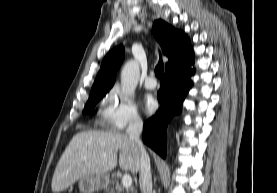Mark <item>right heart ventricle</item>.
Instances as JSON below:
<instances>
[{
  "label": "right heart ventricle",
  "instance_id": "obj_1",
  "mask_svg": "<svg viewBox=\"0 0 277 193\" xmlns=\"http://www.w3.org/2000/svg\"><path fill=\"white\" fill-rule=\"evenodd\" d=\"M108 112H109V108H107V107H103V108L101 109V114H102L104 117H106V115L108 114Z\"/></svg>",
  "mask_w": 277,
  "mask_h": 193
}]
</instances>
